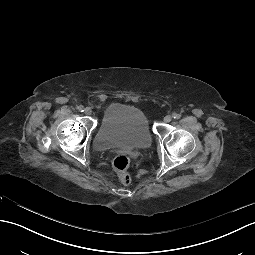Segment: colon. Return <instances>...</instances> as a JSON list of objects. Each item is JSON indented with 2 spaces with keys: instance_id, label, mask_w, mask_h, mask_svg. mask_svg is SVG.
<instances>
[{
  "instance_id": "5ec220e1",
  "label": "colon",
  "mask_w": 255,
  "mask_h": 255,
  "mask_svg": "<svg viewBox=\"0 0 255 255\" xmlns=\"http://www.w3.org/2000/svg\"><path fill=\"white\" fill-rule=\"evenodd\" d=\"M130 159L126 154H118L112 162L113 169L119 176L121 182L125 185L130 184L131 177L127 171Z\"/></svg>"
}]
</instances>
